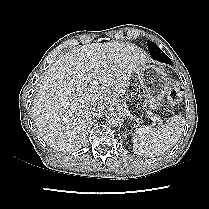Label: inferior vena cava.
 <instances>
[{
	"instance_id": "obj_1",
	"label": "inferior vena cava",
	"mask_w": 209,
	"mask_h": 209,
	"mask_svg": "<svg viewBox=\"0 0 209 209\" xmlns=\"http://www.w3.org/2000/svg\"><path fill=\"white\" fill-rule=\"evenodd\" d=\"M101 113H100V109L99 108H95V109H93L92 111H91V115L93 116V117H95V116H98V115H100Z\"/></svg>"
}]
</instances>
